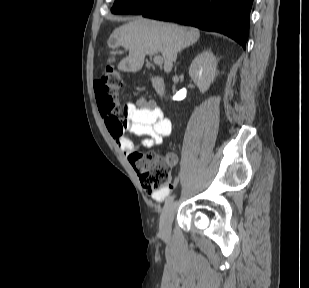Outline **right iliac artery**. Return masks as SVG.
Listing matches in <instances>:
<instances>
[{"label":"right iliac artery","mask_w":309,"mask_h":288,"mask_svg":"<svg viewBox=\"0 0 309 288\" xmlns=\"http://www.w3.org/2000/svg\"><path fill=\"white\" fill-rule=\"evenodd\" d=\"M175 198V195H170L167 197L165 204L168 205L169 203H171L173 201V199Z\"/></svg>","instance_id":"82829eb1"}]
</instances>
